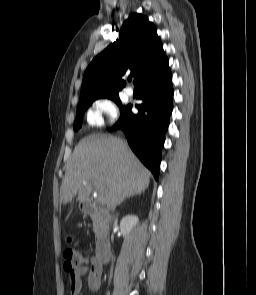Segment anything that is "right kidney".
<instances>
[{
    "label": "right kidney",
    "mask_w": 256,
    "mask_h": 295,
    "mask_svg": "<svg viewBox=\"0 0 256 295\" xmlns=\"http://www.w3.org/2000/svg\"><path fill=\"white\" fill-rule=\"evenodd\" d=\"M138 222L137 216L127 215L122 218L120 222V230L124 237H126Z\"/></svg>",
    "instance_id": "ca27d5eb"
}]
</instances>
